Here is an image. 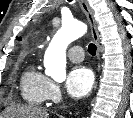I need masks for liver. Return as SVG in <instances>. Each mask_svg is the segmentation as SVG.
Returning a JSON list of instances; mask_svg holds the SVG:
<instances>
[{
  "label": "liver",
  "instance_id": "6515ba94",
  "mask_svg": "<svg viewBox=\"0 0 133 118\" xmlns=\"http://www.w3.org/2000/svg\"><path fill=\"white\" fill-rule=\"evenodd\" d=\"M5 118H49L46 110L32 106H13L8 108Z\"/></svg>",
  "mask_w": 133,
  "mask_h": 118
}]
</instances>
